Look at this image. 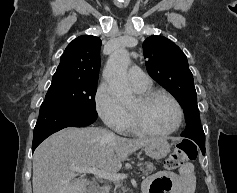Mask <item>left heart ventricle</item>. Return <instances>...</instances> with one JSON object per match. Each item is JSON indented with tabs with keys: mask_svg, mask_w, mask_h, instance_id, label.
<instances>
[{
	"mask_svg": "<svg viewBox=\"0 0 237 193\" xmlns=\"http://www.w3.org/2000/svg\"><path fill=\"white\" fill-rule=\"evenodd\" d=\"M129 111L134 113L140 124L155 131L171 129L178 119L175 105L165 97H157L148 104L137 99Z\"/></svg>",
	"mask_w": 237,
	"mask_h": 193,
	"instance_id": "obj_1",
	"label": "left heart ventricle"
}]
</instances>
